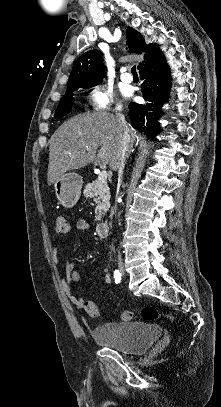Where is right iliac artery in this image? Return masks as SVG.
I'll use <instances>...</instances> for the list:
<instances>
[{
    "instance_id": "1",
    "label": "right iliac artery",
    "mask_w": 221,
    "mask_h": 407,
    "mask_svg": "<svg viewBox=\"0 0 221 407\" xmlns=\"http://www.w3.org/2000/svg\"><path fill=\"white\" fill-rule=\"evenodd\" d=\"M115 283H119L121 280V273L119 270H115L114 272Z\"/></svg>"
}]
</instances>
